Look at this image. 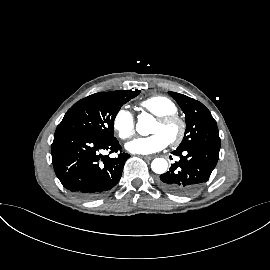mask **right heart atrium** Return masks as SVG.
Returning a JSON list of instances; mask_svg holds the SVG:
<instances>
[{
    "mask_svg": "<svg viewBox=\"0 0 270 270\" xmlns=\"http://www.w3.org/2000/svg\"><path fill=\"white\" fill-rule=\"evenodd\" d=\"M112 127L119 138L126 140L135 132V119L132 112L122 107L116 111L112 119Z\"/></svg>",
    "mask_w": 270,
    "mask_h": 270,
    "instance_id": "obj_1",
    "label": "right heart atrium"
}]
</instances>
